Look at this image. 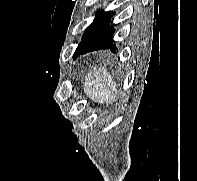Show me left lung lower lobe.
<instances>
[{
    "label": "left lung lower lobe",
    "instance_id": "left-lung-lower-lobe-1",
    "mask_svg": "<svg viewBox=\"0 0 197 181\" xmlns=\"http://www.w3.org/2000/svg\"><path fill=\"white\" fill-rule=\"evenodd\" d=\"M114 12H106L98 22L96 28L92 32L91 36L83 47L77 52V56L80 54H86L88 52L97 51L101 49H110L112 52L117 50L113 35L115 33L111 23V17Z\"/></svg>",
    "mask_w": 197,
    "mask_h": 181
}]
</instances>
